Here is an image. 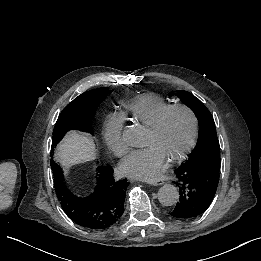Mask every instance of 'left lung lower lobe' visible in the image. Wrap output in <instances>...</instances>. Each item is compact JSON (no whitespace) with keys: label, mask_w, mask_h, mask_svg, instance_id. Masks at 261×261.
Returning <instances> with one entry per match:
<instances>
[{"label":"left lung lower lobe","mask_w":261,"mask_h":261,"mask_svg":"<svg viewBox=\"0 0 261 261\" xmlns=\"http://www.w3.org/2000/svg\"><path fill=\"white\" fill-rule=\"evenodd\" d=\"M179 202L170 211L178 219L200 216L210 206L219 182V170L212 167H179L175 170Z\"/></svg>","instance_id":"obj_1"}]
</instances>
